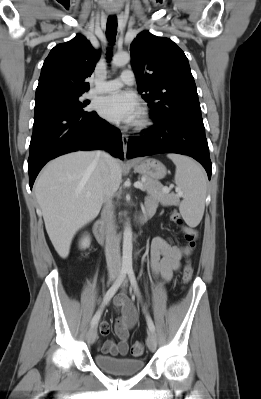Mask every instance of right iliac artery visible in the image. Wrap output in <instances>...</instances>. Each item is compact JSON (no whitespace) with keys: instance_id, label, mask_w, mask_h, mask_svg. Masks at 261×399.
Wrapping results in <instances>:
<instances>
[{"instance_id":"82829eb1","label":"right iliac artery","mask_w":261,"mask_h":399,"mask_svg":"<svg viewBox=\"0 0 261 399\" xmlns=\"http://www.w3.org/2000/svg\"><path fill=\"white\" fill-rule=\"evenodd\" d=\"M126 274H127V269L126 268H122L120 273H119L118 278L116 279L114 284L109 288V290L106 292L100 308L98 309V311L95 313L94 317L92 318V321H91V326L92 327L98 324V321H99V319L101 317V314L103 312L104 307L110 302L112 297L116 294V292L118 291L119 287L121 286V284L123 283L124 279L126 278Z\"/></svg>"}]
</instances>
